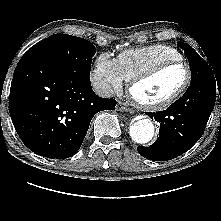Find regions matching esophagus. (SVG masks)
<instances>
[{
  "mask_svg": "<svg viewBox=\"0 0 221 221\" xmlns=\"http://www.w3.org/2000/svg\"><path fill=\"white\" fill-rule=\"evenodd\" d=\"M116 109H117L118 111H126V112L133 113V110H132V109L126 107V106H125L123 103H121V102H119V103L117 104Z\"/></svg>",
  "mask_w": 221,
  "mask_h": 221,
  "instance_id": "34e87169",
  "label": "esophagus"
}]
</instances>
